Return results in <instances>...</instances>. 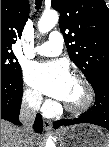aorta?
Masks as SVG:
<instances>
[{"mask_svg": "<svg viewBox=\"0 0 109 147\" xmlns=\"http://www.w3.org/2000/svg\"><path fill=\"white\" fill-rule=\"evenodd\" d=\"M59 16L55 10L44 12L38 22V30L40 33H47L57 24ZM45 147H55L52 137L46 141Z\"/></svg>", "mask_w": 109, "mask_h": 147, "instance_id": "aorta-1", "label": "aorta"}]
</instances>
